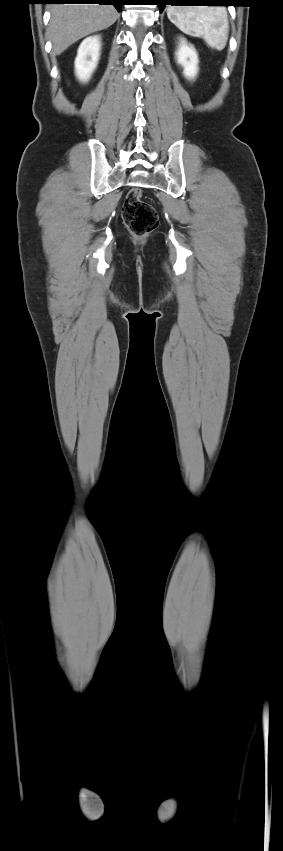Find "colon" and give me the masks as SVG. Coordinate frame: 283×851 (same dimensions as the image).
<instances>
[{
	"mask_svg": "<svg viewBox=\"0 0 283 851\" xmlns=\"http://www.w3.org/2000/svg\"><path fill=\"white\" fill-rule=\"evenodd\" d=\"M122 218L129 232L135 237H144L159 224L155 207L142 199L139 188L131 189L124 200Z\"/></svg>",
	"mask_w": 283,
	"mask_h": 851,
	"instance_id": "1",
	"label": "colon"
}]
</instances>
